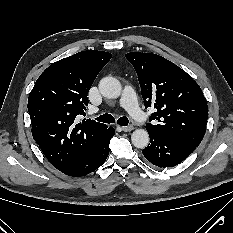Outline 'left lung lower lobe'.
I'll return each mask as SVG.
<instances>
[{"label":"left lung lower lobe","mask_w":233,"mask_h":233,"mask_svg":"<svg viewBox=\"0 0 233 233\" xmlns=\"http://www.w3.org/2000/svg\"><path fill=\"white\" fill-rule=\"evenodd\" d=\"M150 143L142 150L145 158L153 165L172 167L187 158L197 147L187 141L148 131Z\"/></svg>","instance_id":"1"}]
</instances>
